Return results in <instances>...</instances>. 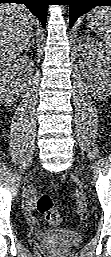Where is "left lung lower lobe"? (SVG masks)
Listing matches in <instances>:
<instances>
[{
  "mask_svg": "<svg viewBox=\"0 0 111 257\" xmlns=\"http://www.w3.org/2000/svg\"><path fill=\"white\" fill-rule=\"evenodd\" d=\"M70 27L77 18L95 6H111V0H70Z\"/></svg>",
  "mask_w": 111,
  "mask_h": 257,
  "instance_id": "1",
  "label": "left lung lower lobe"
}]
</instances>
